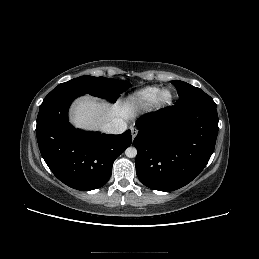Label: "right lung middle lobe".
Returning a JSON list of instances; mask_svg holds the SVG:
<instances>
[{
    "label": "right lung middle lobe",
    "mask_w": 259,
    "mask_h": 259,
    "mask_svg": "<svg viewBox=\"0 0 259 259\" xmlns=\"http://www.w3.org/2000/svg\"><path fill=\"white\" fill-rule=\"evenodd\" d=\"M131 86L130 83L105 77L81 76L59 84L43 101L54 96L72 93L77 95L90 94L115 102L117 98Z\"/></svg>",
    "instance_id": "dd1d6c3e"
}]
</instances>
